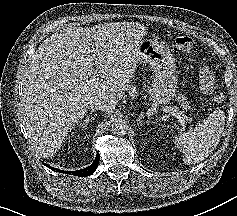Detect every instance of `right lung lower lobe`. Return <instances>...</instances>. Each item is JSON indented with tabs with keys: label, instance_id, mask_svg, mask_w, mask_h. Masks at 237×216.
Returning <instances> with one entry per match:
<instances>
[{
	"label": "right lung lower lobe",
	"instance_id": "1",
	"mask_svg": "<svg viewBox=\"0 0 237 216\" xmlns=\"http://www.w3.org/2000/svg\"><path fill=\"white\" fill-rule=\"evenodd\" d=\"M99 160H100V155H99V153H97L95 161L90 166H88L87 168H84L82 170H77V171H63V170H59L54 167H51L50 165H48L46 163H43V164L55 172H61V173H66V174L68 173V174H72V175H76V176L86 177V176H89L95 172V170L97 169V166L99 164Z\"/></svg>",
	"mask_w": 237,
	"mask_h": 216
}]
</instances>
